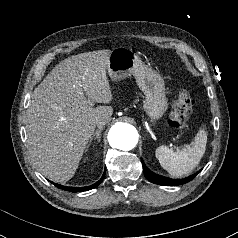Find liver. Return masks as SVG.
I'll return each instance as SVG.
<instances>
[{"mask_svg":"<svg viewBox=\"0 0 238 238\" xmlns=\"http://www.w3.org/2000/svg\"><path fill=\"white\" fill-rule=\"evenodd\" d=\"M111 50L61 61L35 88L27 110V145L36 168L55 182L71 179L98 121L109 120L112 92L106 75Z\"/></svg>","mask_w":238,"mask_h":238,"instance_id":"1","label":"liver"}]
</instances>
